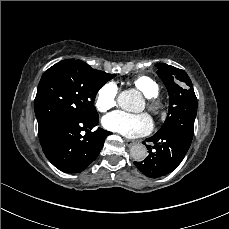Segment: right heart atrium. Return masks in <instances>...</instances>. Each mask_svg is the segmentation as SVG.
Segmentation results:
<instances>
[{
  "instance_id": "d8ad5b80",
  "label": "right heart atrium",
  "mask_w": 229,
  "mask_h": 229,
  "mask_svg": "<svg viewBox=\"0 0 229 229\" xmlns=\"http://www.w3.org/2000/svg\"><path fill=\"white\" fill-rule=\"evenodd\" d=\"M118 87L113 82L103 84L96 92L94 105L100 112H105L116 105Z\"/></svg>"
}]
</instances>
